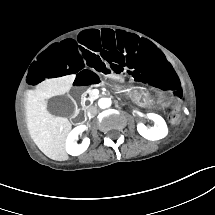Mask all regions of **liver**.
Masks as SVG:
<instances>
[{
    "mask_svg": "<svg viewBox=\"0 0 215 215\" xmlns=\"http://www.w3.org/2000/svg\"><path fill=\"white\" fill-rule=\"evenodd\" d=\"M75 74L47 79L30 90L26 105L27 128L38 148L49 158L58 156L68 159L65 152L66 138L72 125L66 117H56L47 110L46 99L70 91Z\"/></svg>",
    "mask_w": 215,
    "mask_h": 215,
    "instance_id": "6515ba94",
    "label": "liver"
}]
</instances>
